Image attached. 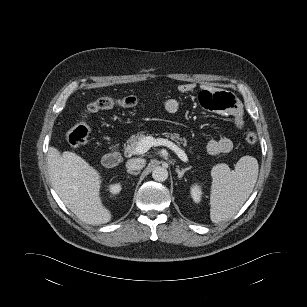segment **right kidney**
I'll list each match as a JSON object with an SVG mask.
<instances>
[{"mask_svg": "<svg viewBox=\"0 0 307 307\" xmlns=\"http://www.w3.org/2000/svg\"><path fill=\"white\" fill-rule=\"evenodd\" d=\"M109 190L113 195H116L121 191V185L119 183L112 184L110 185Z\"/></svg>", "mask_w": 307, "mask_h": 307, "instance_id": "1", "label": "right kidney"}]
</instances>
